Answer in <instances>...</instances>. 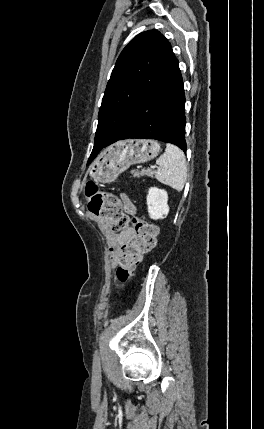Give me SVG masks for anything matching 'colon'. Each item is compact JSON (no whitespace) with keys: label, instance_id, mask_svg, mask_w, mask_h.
<instances>
[{"label":"colon","instance_id":"colon-1","mask_svg":"<svg viewBox=\"0 0 264 429\" xmlns=\"http://www.w3.org/2000/svg\"><path fill=\"white\" fill-rule=\"evenodd\" d=\"M86 196L90 212L102 216L111 232L117 233L127 227L129 218L122 211L117 196L101 190L93 183L87 184ZM132 223L137 233L136 238L132 243L122 246L117 254V278L122 283L134 276L142 256L150 252L156 244L157 228L154 225L140 218H134Z\"/></svg>","mask_w":264,"mask_h":429}]
</instances>
